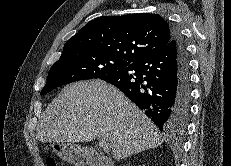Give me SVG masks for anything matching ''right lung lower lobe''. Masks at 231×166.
<instances>
[{
	"mask_svg": "<svg viewBox=\"0 0 231 166\" xmlns=\"http://www.w3.org/2000/svg\"><path fill=\"white\" fill-rule=\"evenodd\" d=\"M172 27V26H171ZM100 79L119 88L169 135L185 131L191 103L188 54L180 32L162 50Z\"/></svg>",
	"mask_w": 231,
	"mask_h": 166,
	"instance_id": "obj_1",
	"label": "right lung lower lobe"
}]
</instances>
